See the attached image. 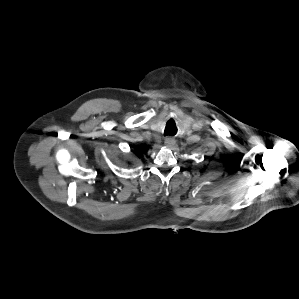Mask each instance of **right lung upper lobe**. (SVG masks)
<instances>
[{
  "label": "right lung upper lobe",
  "mask_w": 299,
  "mask_h": 299,
  "mask_svg": "<svg viewBox=\"0 0 299 299\" xmlns=\"http://www.w3.org/2000/svg\"><path fill=\"white\" fill-rule=\"evenodd\" d=\"M146 150H147V149H146L145 147L140 146V147L137 148L136 152H137V154H138L139 156H141L143 153H145Z\"/></svg>",
  "instance_id": "obj_1"
}]
</instances>
